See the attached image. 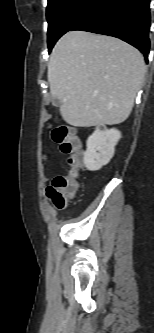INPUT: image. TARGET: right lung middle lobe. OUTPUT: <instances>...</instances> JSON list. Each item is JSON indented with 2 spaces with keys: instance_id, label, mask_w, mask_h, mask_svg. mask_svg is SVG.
<instances>
[{
  "instance_id": "right-lung-middle-lobe-1",
  "label": "right lung middle lobe",
  "mask_w": 154,
  "mask_h": 333,
  "mask_svg": "<svg viewBox=\"0 0 154 333\" xmlns=\"http://www.w3.org/2000/svg\"><path fill=\"white\" fill-rule=\"evenodd\" d=\"M99 0H48V48L83 19Z\"/></svg>"
}]
</instances>
